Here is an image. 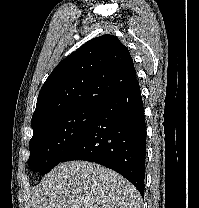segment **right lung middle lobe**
<instances>
[{
  "label": "right lung middle lobe",
  "mask_w": 199,
  "mask_h": 208,
  "mask_svg": "<svg viewBox=\"0 0 199 208\" xmlns=\"http://www.w3.org/2000/svg\"><path fill=\"white\" fill-rule=\"evenodd\" d=\"M98 106H84L56 114L33 127L28 165L46 174L76 145Z\"/></svg>",
  "instance_id": "1"
}]
</instances>
